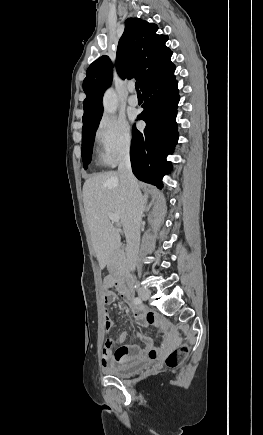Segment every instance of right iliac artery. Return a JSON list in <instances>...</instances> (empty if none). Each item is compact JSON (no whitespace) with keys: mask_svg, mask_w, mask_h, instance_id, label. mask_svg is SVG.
<instances>
[{"mask_svg":"<svg viewBox=\"0 0 263 435\" xmlns=\"http://www.w3.org/2000/svg\"><path fill=\"white\" fill-rule=\"evenodd\" d=\"M134 303H135L136 305H140V304L142 303L141 298H139V297L134 298Z\"/></svg>","mask_w":263,"mask_h":435,"instance_id":"right-iliac-artery-1","label":"right iliac artery"}]
</instances>
